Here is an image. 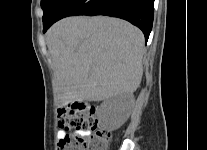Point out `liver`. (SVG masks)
I'll return each instance as SVG.
<instances>
[{"mask_svg": "<svg viewBox=\"0 0 207 150\" xmlns=\"http://www.w3.org/2000/svg\"><path fill=\"white\" fill-rule=\"evenodd\" d=\"M46 41L61 106L132 94L140 85L144 36L124 20L68 17L48 30Z\"/></svg>", "mask_w": 207, "mask_h": 150, "instance_id": "6515ba94", "label": "liver"}]
</instances>
